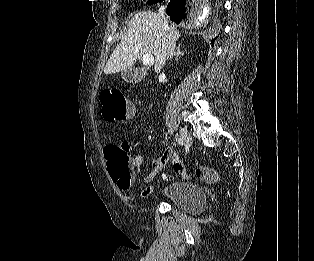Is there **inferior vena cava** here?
<instances>
[{
	"label": "inferior vena cava",
	"mask_w": 314,
	"mask_h": 261,
	"mask_svg": "<svg viewBox=\"0 0 314 261\" xmlns=\"http://www.w3.org/2000/svg\"><path fill=\"white\" fill-rule=\"evenodd\" d=\"M164 6L159 8V15L163 18L164 16ZM163 24L165 28H169L167 21L163 18ZM175 39L173 38V35L170 31H168L167 33V40H166V48H167V53H166V59H171L172 56L174 55V51H175Z\"/></svg>",
	"instance_id": "1"
}]
</instances>
